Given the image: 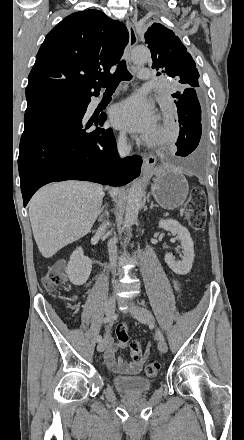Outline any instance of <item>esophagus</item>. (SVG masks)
Segmentation results:
<instances>
[{"label":"esophagus","mask_w":244,"mask_h":440,"mask_svg":"<svg viewBox=\"0 0 244 440\" xmlns=\"http://www.w3.org/2000/svg\"><path fill=\"white\" fill-rule=\"evenodd\" d=\"M126 27L129 32V43L124 51V58L126 60V64L128 67L131 66V52L133 50V47L138 42V37L135 31V28L133 24L130 22V20L126 21ZM156 164V157L154 155H147L143 157V164H142V172L143 174H147L149 170L154 167Z\"/></svg>","instance_id":"34e87169"}]
</instances>
